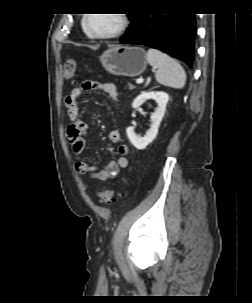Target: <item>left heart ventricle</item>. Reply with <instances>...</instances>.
Masks as SVG:
<instances>
[{
	"label": "left heart ventricle",
	"instance_id": "left-heart-ventricle-1",
	"mask_svg": "<svg viewBox=\"0 0 252 303\" xmlns=\"http://www.w3.org/2000/svg\"><path fill=\"white\" fill-rule=\"evenodd\" d=\"M118 24L115 14H93L89 17L87 26L91 32L104 33L114 29Z\"/></svg>",
	"mask_w": 252,
	"mask_h": 303
}]
</instances>
